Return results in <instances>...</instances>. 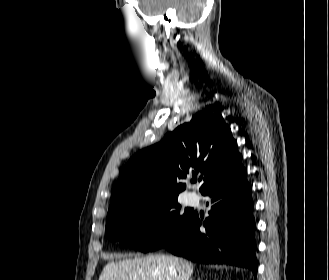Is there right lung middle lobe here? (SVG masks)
Wrapping results in <instances>:
<instances>
[{"label": "right lung middle lobe", "instance_id": "obj_1", "mask_svg": "<svg viewBox=\"0 0 329 280\" xmlns=\"http://www.w3.org/2000/svg\"><path fill=\"white\" fill-rule=\"evenodd\" d=\"M180 211L177 196H149L108 212L105 235L142 252L168 244L193 218Z\"/></svg>", "mask_w": 329, "mask_h": 280}]
</instances>
